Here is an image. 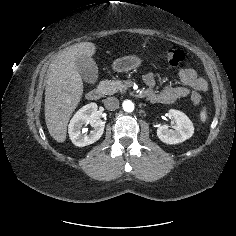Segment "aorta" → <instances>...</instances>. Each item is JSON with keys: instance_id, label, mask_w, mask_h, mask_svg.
<instances>
[{"instance_id": "obj_1", "label": "aorta", "mask_w": 236, "mask_h": 236, "mask_svg": "<svg viewBox=\"0 0 236 236\" xmlns=\"http://www.w3.org/2000/svg\"><path fill=\"white\" fill-rule=\"evenodd\" d=\"M122 106L126 112H132L134 110V103L131 100H125Z\"/></svg>"}]
</instances>
